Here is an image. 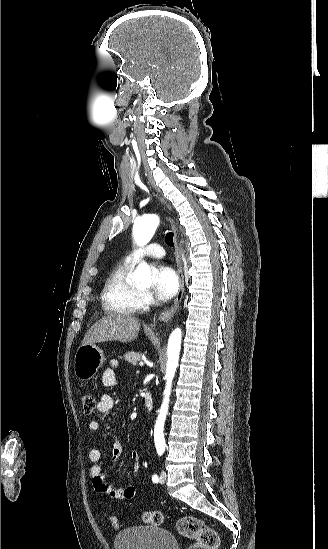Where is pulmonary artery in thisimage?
<instances>
[{"mask_svg":"<svg viewBox=\"0 0 328 549\" xmlns=\"http://www.w3.org/2000/svg\"><path fill=\"white\" fill-rule=\"evenodd\" d=\"M168 253L169 250L166 246H149L146 248L145 252H141L138 250L130 251L127 255V258L136 261L144 256H149L152 258L166 257Z\"/></svg>","mask_w":328,"mask_h":549,"instance_id":"e3ab8cb5","label":"pulmonary artery"}]
</instances>
